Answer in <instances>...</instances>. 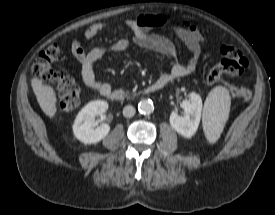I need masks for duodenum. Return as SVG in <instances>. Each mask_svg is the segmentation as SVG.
I'll use <instances>...</instances> for the list:
<instances>
[{"label": "duodenum", "instance_id": "1", "mask_svg": "<svg viewBox=\"0 0 275 215\" xmlns=\"http://www.w3.org/2000/svg\"><path fill=\"white\" fill-rule=\"evenodd\" d=\"M168 84V79L160 78L155 81L153 84L149 85L145 88V93H155L161 89H163ZM106 98L112 101H123L125 99V93L121 90H110L105 95Z\"/></svg>", "mask_w": 275, "mask_h": 215}]
</instances>
